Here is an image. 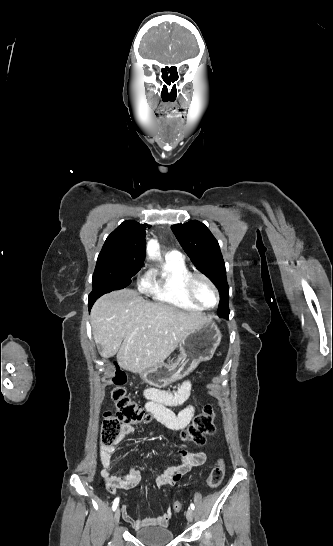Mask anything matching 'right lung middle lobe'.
Listing matches in <instances>:
<instances>
[{
  "label": "right lung middle lobe",
  "instance_id": "dd1d6c3e",
  "mask_svg": "<svg viewBox=\"0 0 333 546\" xmlns=\"http://www.w3.org/2000/svg\"><path fill=\"white\" fill-rule=\"evenodd\" d=\"M139 270L130 268V264L124 258L99 255L92 277L93 290L89 295V300L95 302L105 293L125 288Z\"/></svg>",
  "mask_w": 333,
  "mask_h": 546
}]
</instances>
